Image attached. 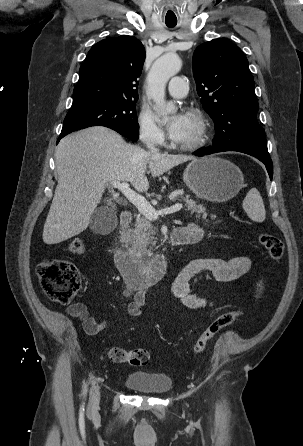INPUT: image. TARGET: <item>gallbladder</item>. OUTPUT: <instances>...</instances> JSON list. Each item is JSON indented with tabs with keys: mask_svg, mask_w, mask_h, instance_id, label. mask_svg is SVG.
Segmentation results:
<instances>
[{
	"mask_svg": "<svg viewBox=\"0 0 303 446\" xmlns=\"http://www.w3.org/2000/svg\"><path fill=\"white\" fill-rule=\"evenodd\" d=\"M116 221L115 212L111 208L100 207L91 216L90 228L96 233H106L114 228Z\"/></svg>",
	"mask_w": 303,
	"mask_h": 446,
	"instance_id": "obj_1",
	"label": "gallbladder"
}]
</instances>
